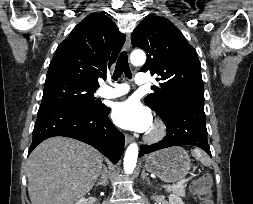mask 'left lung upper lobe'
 <instances>
[{
    "instance_id": "left-lung-upper-lobe-1",
    "label": "left lung upper lobe",
    "mask_w": 253,
    "mask_h": 204,
    "mask_svg": "<svg viewBox=\"0 0 253 204\" xmlns=\"http://www.w3.org/2000/svg\"><path fill=\"white\" fill-rule=\"evenodd\" d=\"M131 43L147 54L141 71L159 76V87H153L144 101L162 119L180 107L204 104L197 52L171 21L158 16L145 18L131 34Z\"/></svg>"
}]
</instances>
